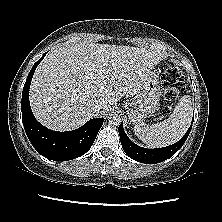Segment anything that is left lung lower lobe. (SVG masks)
Returning <instances> with one entry per match:
<instances>
[{"label": "left lung lower lobe", "instance_id": "1", "mask_svg": "<svg viewBox=\"0 0 222 222\" xmlns=\"http://www.w3.org/2000/svg\"><path fill=\"white\" fill-rule=\"evenodd\" d=\"M191 127L192 126L189 127L186 134L177 143L168 147L157 148V149H146L134 144L125 134L122 123L119 125L118 131L123 150L130 158L138 162L153 164V163L162 162L172 157L185 143L191 131Z\"/></svg>", "mask_w": 222, "mask_h": 222}]
</instances>
